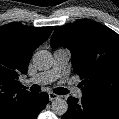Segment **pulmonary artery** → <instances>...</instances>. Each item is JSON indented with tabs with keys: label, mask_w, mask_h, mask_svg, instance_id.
<instances>
[{
	"label": "pulmonary artery",
	"mask_w": 119,
	"mask_h": 119,
	"mask_svg": "<svg viewBox=\"0 0 119 119\" xmlns=\"http://www.w3.org/2000/svg\"><path fill=\"white\" fill-rule=\"evenodd\" d=\"M70 59V51L65 48L57 49L54 52V62L50 70L38 73L26 81L27 84H48L54 80L64 77L67 71V65ZM74 95L78 98L82 96L80 90H76Z\"/></svg>",
	"instance_id": "obj_1"
}]
</instances>
